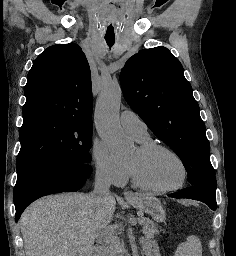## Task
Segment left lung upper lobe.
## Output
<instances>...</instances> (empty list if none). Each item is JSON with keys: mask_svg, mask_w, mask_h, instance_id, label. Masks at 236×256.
Returning <instances> with one entry per match:
<instances>
[{"mask_svg": "<svg viewBox=\"0 0 236 256\" xmlns=\"http://www.w3.org/2000/svg\"><path fill=\"white\" fill-rule=\"evenodd\" d=\"M120 82L130 107L182 160L189 183L216 188L206 128L180 61L165 47L141 50Z\"/></svg>", "mask_w": 236, "mask_h": 256, "instance_id": "left-lung-upper-lobe-1", "label": "left lung upper lobe"}]
</instances>
